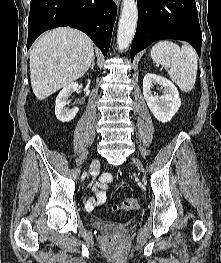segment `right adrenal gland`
Segmentation results:
<instances>
[{
  "instance_id": "obj_1",
  "label": "right adrenal gland",
  "mask_w": 221,
  "mask_h": 263,
  "mask_svg": "<svg viewBox=\"0 0 221 263\" xmlns=\"http://www.w3.org/2000/svg\"><path fill=\"white\" fill-rule=\"evenodd\" d=\"M94 66H95V61L93 60L91 66H90V69H94Z\"/></svg>"
}]
</instances>
